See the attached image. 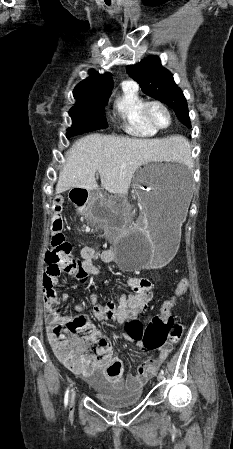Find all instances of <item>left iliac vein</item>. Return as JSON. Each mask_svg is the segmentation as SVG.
<instances>
[{"mask_svg": "<svg viewBox=\"0 0 233 449\" xmlns=\"http://www.w3.org/2000/svg\"><path fill=\"white\" fill-rule=\"evenodd\" d=\"M163 379V375L161 374V373H159L158 375H157V380L158 381H161Z\"/></svg>", "mask_w": 233, "mask_h": 449, "instance_id": "left-iliac-vein-1", "label": "left iliac vein"}]
</instances>
